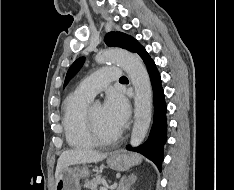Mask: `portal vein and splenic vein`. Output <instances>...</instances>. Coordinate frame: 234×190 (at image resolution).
Masks as SVG:
<instances>
[{"label":"portal vein and splenic vein","instance_id":"obj_1","mask_svg":"<svg viewBox=\"0 0 234 190\" xmlns=\"http://www.w3.org/2000/svg\"><path fill=\"white\" fill-rule=\"evenodd\" d=\"M100 190H108L107 186L105 187H100Z\"/></svg>","mask_w":234,"mask_h":190}]
</instances>
